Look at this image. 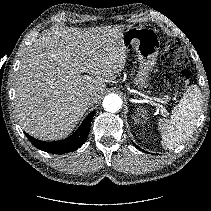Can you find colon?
<instances>
[{"label": "colon", "instance_id": "obj_1", "mask_svg": "<svg viewBox=\"0 0 211 211\" xmlns=\"http://www.w3.org/2000/svg\"><path fill=\"white\" fill-rule=\"evenodd\" d=\"M161 60L165 66L169 67L165 80L170 90L176 94L183 92L191 77L188 70L179 68L186 61L183 46L177 41H169L162 53Z\"/></svg>", "mask_w": 211, "mask_h": 211}]
</instances>
